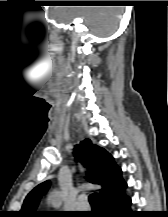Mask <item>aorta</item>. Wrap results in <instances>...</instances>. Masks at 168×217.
<instances>
[{"instance_id":"762f6f07","label":"aorta","mask_w":168,"mask_h":217,"mask_svg":"<svg viewBox=\"0 0 168 217\" xmlns=\"http://www.w3.org/2000/svg\"><path fill=\"white\" fill-rule=\"evenodd\" d=\"M64 199V194L61 191H53L49 197L48 202L55 208L59 207Z\"/></svg>"}]
</instances>
